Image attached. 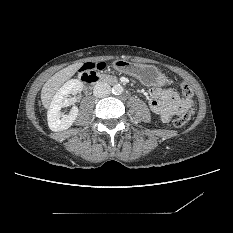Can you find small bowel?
I'll return each instance as SVG.
<instances>
[{
    "mask_svg": "<svg viewBox=\"0 0 233 233\" xmlns=\"http://www.w3.org/2000/svg\"><path fill=\"white\" fill-rule=\"evenodd\" d=\"M146 98L151 110L164 122L170 121L175 114H183L191 108V104L172 88L152 87L146 93Z\"/></svg>",
    "mask_w": 233,
    "mask_h": 233,
    "instance_id": "c3829d8e",
    "label": "small bowel"
}]
</instances>
